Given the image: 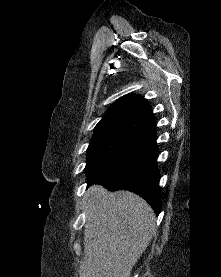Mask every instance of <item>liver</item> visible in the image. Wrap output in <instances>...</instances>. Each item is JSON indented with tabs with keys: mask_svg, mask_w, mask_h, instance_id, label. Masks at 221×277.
Here are the masks:
<instances>
[{
	"mask_svg": "<svg viewBox=\"0 0 221 277\" xmlns=\"http://www.w3.org/2000/svg\"><path fill=\"white\" fill-rule=\"evenodd\" d=\"M155 234V214L143 198L92 186L87 193L80 277H130Z\"/></svg>",
	"mask_w": 221,
	"mask_h": 277,
	"instance_id": "6515ba94",
	"label": "liver"
}]
</instances>
